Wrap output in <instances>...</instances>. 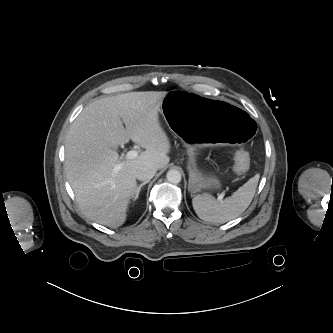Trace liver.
<instances>
[{"label": "liver", "mask_w": 333, "mask_h": 333, "mask_svg": "<svg viewBox=\"0 0 333 333\" xmlns=\"http://www.w3.org/2000/svg\"><path fill=\"white\" fill-rule=\"evenodd\" d=\"M166 94L143 91L101 98L86 106L71 124L65 172L80 209L95 222L121 226L137 188L136 170L143 165L162 169L169 163L170 142L158 116ZM130 139L146 150L135 159L121 161L116 149Z\"/></svg>", "instance_id": "liver-1"}]
</instances>
